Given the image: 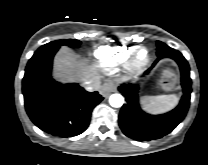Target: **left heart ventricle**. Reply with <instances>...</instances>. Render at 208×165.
I'll use <instances>...</instances> for the list:
<instances>
[{
	"label": "left heart ventricle",
	"instance_id": "b2bd125f",
	"mask_svg": "<svg viewBox=\"0 0 208 165\" xmlns=\"http://www.w3.org/2000/svg\"><path fill=\"white\" fill-rule=\"evenodd\" d=\"M145 55H146V53H145V52H142V53L140 54L141 58H144V57H145Z\"/></svg>",
	"mask_w": 208,
	"mask_h": 165
}]
</instances>
